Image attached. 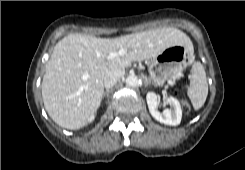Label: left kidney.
<instances>
[{
  "instance_id": "1",
  "label": "left kidney",
  "mask_w": 245,
  "mask_h": 170,
  "mask_svg": "<svg viewBox=\"0 0 245 170\" xmlns=\"http://www.w3.org/2000/svg\"><path fill=\"white\" fill-rule=\"evenodd\" d=\"M149 111L153 118L160 123L166 125L177 126L181 122L182 109L179 101L174 97H168L166 102L170 105V109L160 112L157 107L159 104L158 97L154 92H148L146 95Z\"/></svg>"
}]
</instances>
